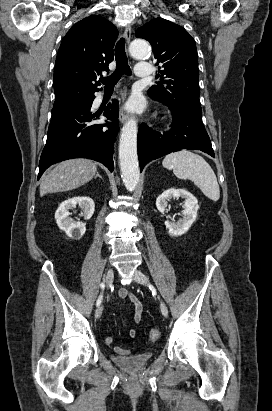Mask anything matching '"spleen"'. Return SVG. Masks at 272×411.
Instances as JSON below:
<instances>
[{"instance_id":"spleen-1","label":"spleen","mask_w":272,"mask_h":411,"mask_svg":"<svg viewBox=\"0 0 272 411\" xmlns=\"http://www.w3.org/2000/svg\"><path fill=\"white\" fill-rule=\"evenodd\" d=\"M162 164L173 170L177 178L193 181L207 198L214 202L219 200L220 189L216 175L202 156L183 150L168 154Z\"/></svg>"}]
</instances>
